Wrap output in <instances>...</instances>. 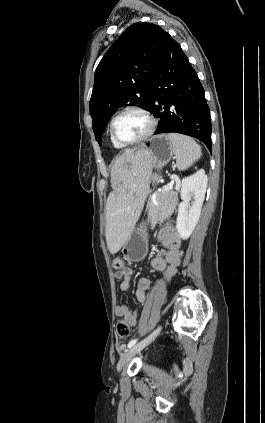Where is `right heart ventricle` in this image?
I'll use <instances>...</instances> for the list:
<instances>
[{"mask_svg":"<svg viewBox=\"0 0 265 423\" xmlns=\"http://www.w3.org/2000/svg\"><path fill=\"white\" fill-rule=\"evenodd\" d=\"M111 143H112L113 147H114V148H116V149H122V148H124V147H125V146H122V145H120V144L116 143V142H115V141H113L112 139H111Z\"/></svg>","mask_w":265,"mask_h":423,"instance_id":"1","label":"right heart ventricle"}]
</instances>
